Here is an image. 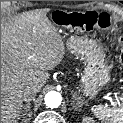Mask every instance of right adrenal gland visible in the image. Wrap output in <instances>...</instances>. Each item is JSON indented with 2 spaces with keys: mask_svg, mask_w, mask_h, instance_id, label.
I'll return each mask as SVG.
<instances>
[{
  "mask_svg": "<svg viewBox=\"0 0 123 123\" xmlns=\"http://www.w3.org/2000/svg\"><path fill=\"white\" fill-rule=\"evenodd\" d=\"M34 98L28 100V102L23 106L24 112L29 111L30 110V105H31V101H33ZM23 123H27L26 121H24Z\"/></svg>",
  "mask_w": 123,
  "mask_h": 123,
  "instance_id": "right-adrenal-gland-1",
  "label": "right adrenal gland"
}]
</instances>
